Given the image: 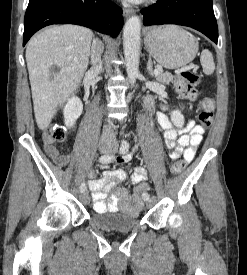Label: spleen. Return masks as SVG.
Wrapping results in <instances>:
<instances>
[{
	"label": "spleen",
	"instance_id": "3e777b00",
	"mask_svg": "<svg viewBox=\"0 0 247 275\" xmlns=\"http://www.w3.org/2000/svg\"><path fill=\"white\" fill-rule=\"evenodd\" d=\"M200 62L203 68V72L207 75H211L215 70V63L213 60L212 53L205 49L201 53Z\"/></svg>",
	"mask_w": 247,
	"mask_h": 275
}]
</instances>
